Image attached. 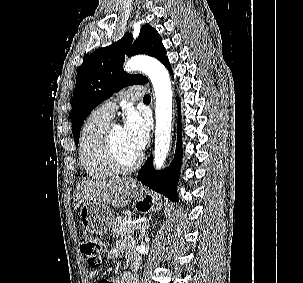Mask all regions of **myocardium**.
<instances>
[{
	"label": "myocardium",
	"mask_w": 303,
	"mask_h": 283,
	"mask_svg": "<svg viewBox=\"0 0 303 283\" xmlns=\"http://www.w3.org/2000/svg\"><path fill=\"white\" fill-rule=\"evenodd\" d=\"M115 125L117 124L109 123L106 127L102 139V154L105 163L113 173L125 174L135 170L140 165L142 157L138 154L130 164H124L120 161L113 140V128Z\"/></svg>",
	"instance_id": "obj_1"
}]
</instances>
